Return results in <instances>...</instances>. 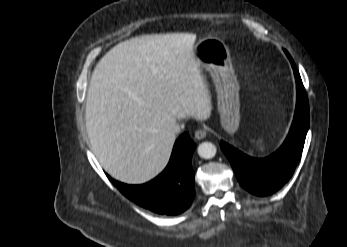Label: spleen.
<instances>
[{
    "mask_svg": "<svg viewBox=\"0 0 347 247\" xmlns=\"http://www.w3.org/2000/svg\"><path fill=\"white\" fill-rule=\"evenodd\" d=\"M255 145L260 152H265L268 148L267 143L263 139L256 141Z\"/></svg>",
    "mask_w": 347,
    "mask_h": 247,
    "instance_id": "1",
    "label": "spleen"
}]
</instances>
